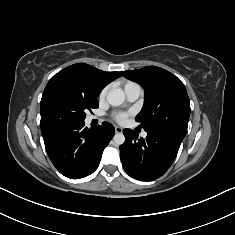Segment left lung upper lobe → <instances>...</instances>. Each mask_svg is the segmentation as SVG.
<instances>
[{
	"label": "left lung upper lobe",
	"mask_w": 235,
	"mask_h": 235,
	"mask_svg": "<svg viewBox=\"0 0 235 235\" xmlns=\"http://www.w3.org/2000/svg\"><path fill=\"white\" fill-rule=\"evenodd\" d=\"M120 73L145 89L144 106L136 116L140 127L145 131L169 132L184 138L187 133L190 102L180 79L156 66Z\"/></svg>",
	"instance_id": "obj_1"
}]
</instances>
